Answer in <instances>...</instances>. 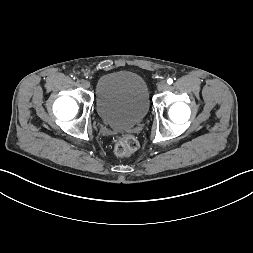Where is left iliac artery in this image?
Returning a JSON list of instances; mask_svg holds the SVG:
<instances>
[{
  "label": "left iliac artery",
  "mask_w": 253,
  "mask_h": 253,
  "mask_svg": "<svg viewBox=\"0 0 253 253\" xmlns=\"http://www.w3.org/2000/svg\"><path fill=\"white\" fill-rule=\"evenodd\" d=\"M167 83L170 85V84L173 83V80H172L171 78H169V79L167 80Z\"/></svg>",
  "instance_id": "44dca946"
}]
</instances>
